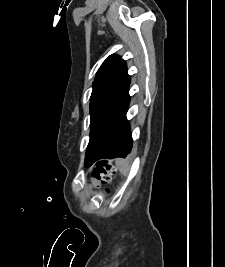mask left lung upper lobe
Instances as JSON below:
<instances>
[{"label":"left lung upper lobe","instance_id":"1","mask_svg":"<svg viewBox=\"0 0 225 267\" xmlns=\"http://www.w3.org/2000/svg\"><path fill=\"white\" fill-rule=\"evenodd\" d=\"M130 76L125 61L113 54L101 65L90 97V141L85 165L91 166L113 126L122 100L129 88Z\"/></svg>","mask_w":225,"mask_h":267}]
</instances>
